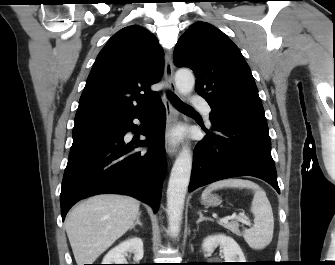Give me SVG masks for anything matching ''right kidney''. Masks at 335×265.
Segmentation results:
<instances>
[{
  "label": "right kidney",
  "mask_w": 335,
  "mask_h": 265,
  "mask_svg": "<svg viewBox=\"0 0 335 265\" xmlns=\"http://www.w3.org/2000/svg\"><path fill=\"white\" fill-rule=\"evenodd\" d=\"M134 254V261L138 262L143 258V241L141 238H129L112 248L104 257L102 264H126L125 255Z\"/></svg>",
  "instance_id": "ca27d5eb"
}]
</instances>
